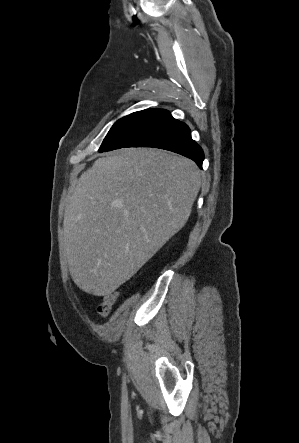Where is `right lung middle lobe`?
Segmentation results:
<instances>
[{
	"label": "right lung middle lobe",
	"mask_w": 299,
	"mask_h": 443,
	"mask_svg": "<svg viewBox=\"0 0 299 443\" xmlns=\"http://www.w3.org/2000/svg\"><path fill=\"white\" fill-rule=\"evenodd\" d=\"M142 111H138L129 114L121 119H119L110 129L105 139L103 140L99 152L108 148L113 144L117 138L131 125V123L140 115Z\"/></svg>",
	"instance_id": "right-lung-middle-lobe-1"
}]
</instances>
